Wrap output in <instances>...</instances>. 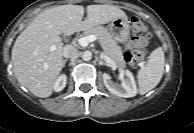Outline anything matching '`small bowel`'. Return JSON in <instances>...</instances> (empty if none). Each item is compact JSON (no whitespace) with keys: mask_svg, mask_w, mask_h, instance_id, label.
Masks as SVG:
<instances>
[{"mask_svg":"<svg viewBox=\"0 0 194 133\" xmlns=\"http://www.w3.org/2000/svg\"><path fill=\"white\" fill-rule=\"evenodd\" d=\"M146 44L147 40L145 38H131L127 43V47H135L137 52L144 55L147 54L149 50Z\"/></svg>","mask_w":194,"mask_h":133,"instance_id":"c3829d8e","label":"small bowel"}]
</instances>
